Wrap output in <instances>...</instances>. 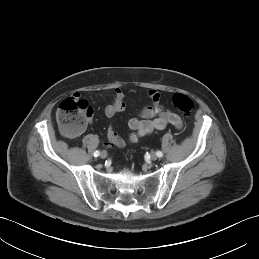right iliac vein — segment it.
Here are the masks:
<instances>
[{"label":"right iliac vein","instance_id":"1","mask_svg":"<svg viewBox=\"0 0 259 259\" xmlns=\"http://www.w3.org/2000/svg\"><path fill=\"white\" fill-rule=\"evenodd\" d=\"M100 157H101L102 159H105V158L107 157V152H106V151H102V152L100 153Z\"/></svg>","mask_w":259,"mask_h":259}]
</instances>
